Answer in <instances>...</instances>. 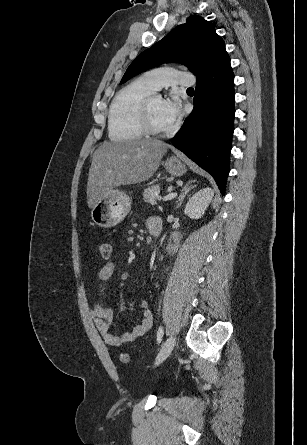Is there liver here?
Listing matches in <instances>:
<instances>
[{"instance_id": "obj_1", "label": "liver", "mask_w": 307, "mask_h": 445, "mask_svg": "<svg viewBox=\"0 0 307 445\" xmlns=\"http://www.w3.org/2000/svg\"><path fill=\"white\" fill-rule=\"evenodd\" d=\"M168 146L163 140L107 142L96 148L87 182V204L93 208L121 184H137L153 176Z\"/></svg>"}]
</instances>
